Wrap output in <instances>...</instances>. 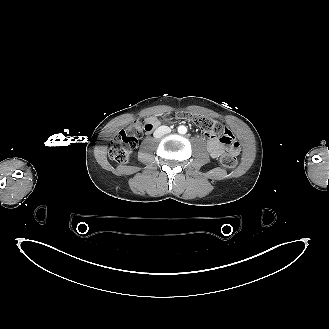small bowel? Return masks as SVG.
<instances>
[{"mask_svg":"<svg viewBox=\"0 0 329 329\" xmlns=\"http://www.w3.org/2000/svg\"><path fill=\"white\" fill-rule=\"evenodd\" d=\"M155 119L153 117H149L146 119L147 122L154 123ZM157 120L159 122L162 121H170L173 122L175 120V117L170 114H162L157 117ZM227 131L232 134L228 129ZM207 138V150L210 154L211 157L213 158H221L225 154V147L222 143H220L216 138L210 136V135H205ZM238 149L235 151L237 153Z\"/></svg>","mask_w":329,"mask_h":329,"instance_id":"obj_1","label":"small bowel"}]
</instances>
